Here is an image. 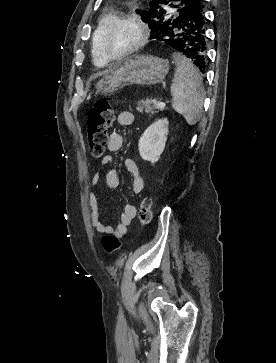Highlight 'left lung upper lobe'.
Returning <instances> with one entry per match:
<instances>
[{"instance_id": "5c2ea615", "label": "left lung upper lobe", "mask_w": 276, "mask_h": 363, "mask_svg": "<svg viewBox=\"0 0 276 363\" xmlns=\"http://www.w3.org/2000/svg\"><path fill=\"white\" fill-rule=\"evenodd\" d=\"M188 0H156L149 3V10L142 12V17L145 22L149 23L152 38L161 29L165 30L169 27L175 16H170V12L163 9L162 5H167L172 8H180L185 5ZM179 11V9L177 10Z\"/></svg>"}]
</instances>
